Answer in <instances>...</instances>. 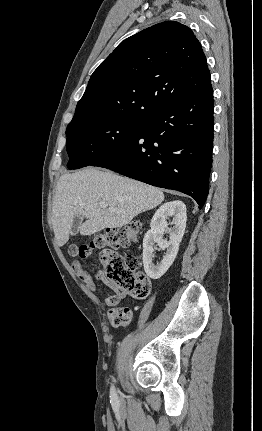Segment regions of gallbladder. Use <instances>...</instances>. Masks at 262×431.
Here are the masks:
<instances>
[{"label": "gallbladder", "mask_w": 262, "mask_h": 431, "mask_svg": "<svg viewBox=\"0 0 262 431\" xmlns=\"http://www.w3.org/2000/svg\"><path fill=\"white\" fill-rule=\"evenodd\" d=\"M82 220H83V216H81V215H76L73 218L72 226L70 229L71 236H76L79 233V229H80V226L82 224Z\"/></svg>", "instance_id": "1"}]
</instances>
